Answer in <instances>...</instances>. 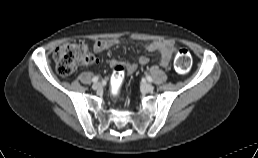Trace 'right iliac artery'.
Masks as SVG:
<instances>
[{
	"label": "right iliac artery",
	"instance_id": "right-iliac-artery-1",
	"mask_svg": "<svg viewBox=\"0 0 258 158\" xmlns=\"http://www.w3.org/2000/svg\"><path fill=\"white\" fill-rule=\"evenodd\" d=\"M98 80H99V77H98V76H94V77L92 78V82H94V83H96Z\"/></svg>",
	"mask_w": 258,
	"mask_h": 158
}]
</instances>
